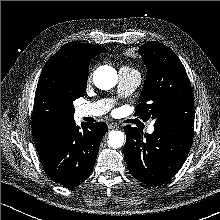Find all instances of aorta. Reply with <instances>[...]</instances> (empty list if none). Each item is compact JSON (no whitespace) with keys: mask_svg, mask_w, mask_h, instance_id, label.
<instances>
[{"mask_svg":"<svg viewBox=\"0 0 220 220\" xmlns=\"http://www.w3.org/2000/svg\"><path fill=\"white\" fill-rule=\"evenodd\" d=\"M94 84L101 90H110L117 84V71L110 66H100L93 75ZM124 134L113 130L109 133L108 144L112 148H120L124 145Z\"/></svg>","mask_w":220,"mask_h":220,"instance_id":"obj_1","label":"aorta"}]
</instances>
